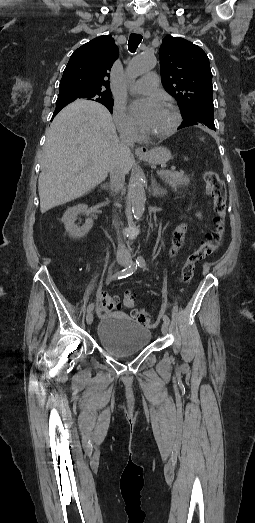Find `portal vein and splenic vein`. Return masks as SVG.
Instances as JSON below:
<instances>
[{
	"label": "portal vein and splenic vein",
	"instance_id": "18ae733b",
	"mask_svg": "<svg viewBox=\"0 0 255 523\" xmlns=\"http://www.w3.org/2000/svg\"><path fill=\"white\" fill-rule=\"evenodd\" d=\"M173 173V168L163 167L162 169L155 170V175L162 176L163 174Z\"/></svg>",
	"mask_w": 255,
	"mask_h": 523
}]
</instances>
